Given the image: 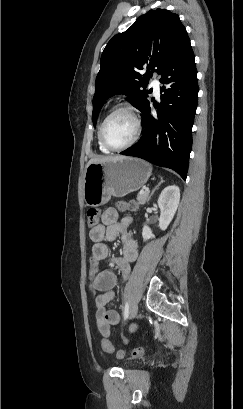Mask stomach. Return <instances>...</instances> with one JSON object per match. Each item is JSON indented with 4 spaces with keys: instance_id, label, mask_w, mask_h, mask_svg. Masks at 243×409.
I'll return each mask as SVG.
<instances>
[{
    "instance_id": "1",
    "label": "stomach",
    "mask_w": 243,
    "mask_h": 409,
    "mask_svg": "<svg viewBox=\"0 0 243 409\" xmlns=\"http://www.w3.org/2000/svg\"><path fill=\"white\" fill-rule=\"evenodd\" d=\"M151 172L149 163L133 157L90 163L83 182L85 204L98 207L106 204L112 196L123 197L137 191L147 182Z\"/></svg>"
}]
</instances>
